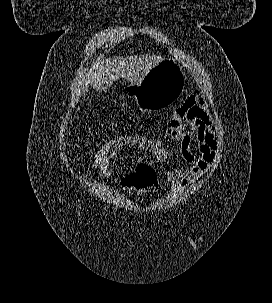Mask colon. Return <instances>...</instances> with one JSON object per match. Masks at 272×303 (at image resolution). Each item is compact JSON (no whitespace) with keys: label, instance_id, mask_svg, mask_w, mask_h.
<instances>
[{"label":"colon","instance_id":"5ec220e1","mask_svg":"<svg viewBox=\"0 0 272 303\" xmlns=\"http://www.w3.org/2000/svg\"><path fill=\"white\" fill-rule=\"evenodd\" d=\"M118 137L108 140L87 163L88 173L100 174L107 169L112 162V154L119 148ZM158 180L155 170L148 165L140 166L134 175L135 190H152L157 187Z\"/></svg>","mask_w":272,"mask_h":303}]
</instances>
